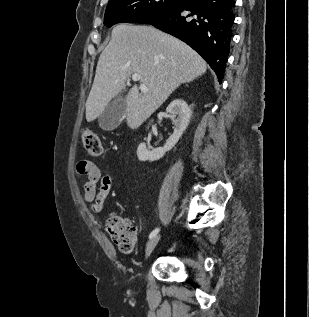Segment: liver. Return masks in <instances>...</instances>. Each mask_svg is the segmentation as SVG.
<instances>
[{"label": "liver", "mask_w": 309, "mask_h": 317, "mask_svg": "<svg viewBox=\"0 0 309 317\" xmlns=\"http://www.w3.org/2000/svg\"><path fill=\"white\" fill-rule=\"evenodd\" d=\"M202 57L187 44L152 26L119 24L101 53L86 101V120L98 118L133 74L147 91L133 86L126 97V120L131 129L142 125L182 83L206 72Z\"/></svg>", "instance_id": "6515ba94"}]
</instances>
